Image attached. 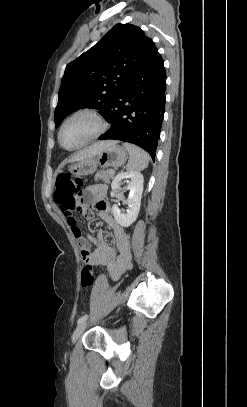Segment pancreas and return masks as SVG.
I'll return each instance as SVG.
<instances>
[{
    "mask_svg": "<svg viewBox=\"0 0 247 407\" xmlns=\"http://www.w3.org/2000/svg\"><path fill=\"white\" fill-rule=\"evenodd\" d=\"M114 170H101L95 174V181L103 180L105 183H109L110 180L114 177Z\"/></svg>",
    "mask_w": 247,
    "mask_h": 407,
    "instance_id": "1",
    "label": "pancreas"
}]
</instances>
